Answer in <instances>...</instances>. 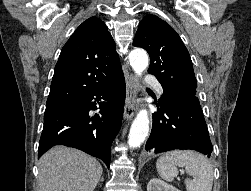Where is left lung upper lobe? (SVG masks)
Masks as SVG:
<instances>
[{"label": "left lung upper lobe", "mask_w": 251, "mask_h": 191, "mask_svg": "<svg viewBox=\"0 0 251 191\" xmlns=\"http://www.w3.org/2000/svg\"><path fill=\"white\" fill-rule=\"evenodd\" d=\"M133 46L149 53L148 72L156 76L164 90L160 100L196 96L197 80L189 52L168 23L155 15L145 16L138 26Z\"/></svg>", "instance_id": "1"}]
</instances>
